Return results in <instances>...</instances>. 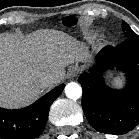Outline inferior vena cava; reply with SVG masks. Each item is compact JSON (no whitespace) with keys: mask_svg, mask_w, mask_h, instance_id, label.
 I'll return each instance as SVG.
<instances>
[{"mask_svg":"<svg viewBox=\"0 0 139 139\" xmlns=\"http://www.w3.org/2000/svg\"><path fill=\"white\" fill-rule=\"evenodd\" d=\"M55 82L54 77H52L51 75H45L42 76L39 80H38V86L42 89L53 85Z\"/></svg>","mask_w":139,"mask_h":139,"instance_id":"inferior-vena-cava-1","label":"inferior vena cava"}]
</instances>
